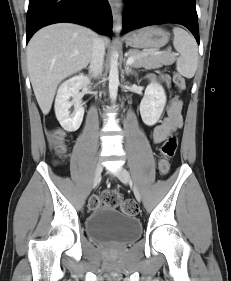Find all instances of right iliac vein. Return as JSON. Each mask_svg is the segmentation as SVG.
Wrapping results in <instances>:
<instances>
[{
    "label": "right iliac vein",
    "instance_id": "1",
    "mask_svg": "<svg viewBox=\"0 0 231 281\" xmlns=\"http://www.w3.org/2000/svg\"><path fill=\"white\" fill-rule=\"evenodd\" d=\"M102 170H103L102 164L98 162L95 168L93 187L97 186L98 183L100 182Z\"/></svg>",
    "mask_w": 231,
    "mask_h": 281
}]
</instances>
